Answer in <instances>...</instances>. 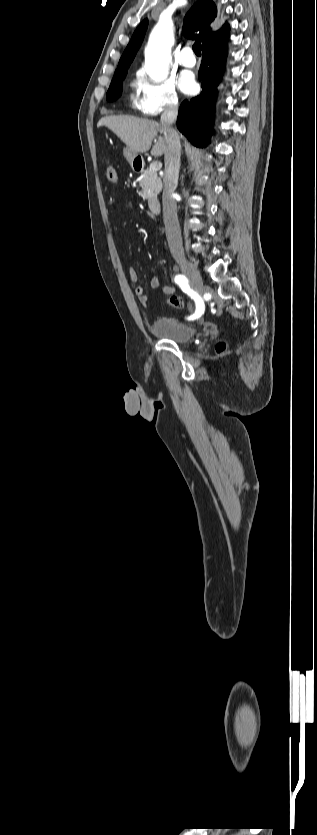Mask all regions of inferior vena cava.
I'll list each match as a JSON object with an SVG mask.
<instances>
[{
	"label": "inferior vena cava",
	"instance_id": "602c4592",
	"mask_svg": "<svg viewBox=\"0 0 317 835\" xmlns=\"http://www.w3.org/2000/svg\"><path fill=\"white\" fill-rule=\"evenodd\" d=\"M178 115V104L170 102L161 115L160 124L166 141L165 149V176L162 194L163 218L165 224L168 245L174 258H181L184 255L181 230L177 216V205L173 198V192L178 184L180 169L181 144L177 132L172 128Z\"/></svg>",
	"mask_w": 317,
	"mask_h": 835
}]
</instances>
